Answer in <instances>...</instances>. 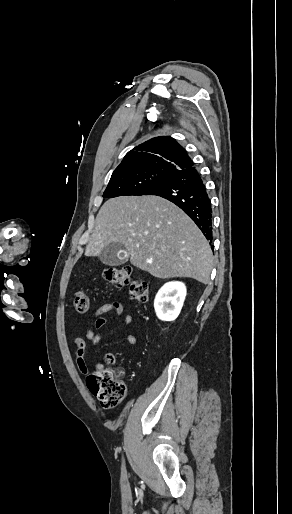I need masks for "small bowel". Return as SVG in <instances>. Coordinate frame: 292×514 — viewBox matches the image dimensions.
<instances>
[{"instance_id":"1","label":"small bowel","mask_w":292,"mask_h":514,"mask_svg":"<svg viewBox=\"0 0 292 514\" xmlns=\"http://www.w3.org/2000/svg\"><path fill=\"white\" fill-rule=\"evenodd\" d=\"M124 307L118 301L107 302L100 305L94 312L93 319L90 328L81 336L74 339V346L76 349V365L78 371L88 376L90 369L86 360V340L92 341L93 344H97L99 341L98 332L107 324L108 320L112 317H120L123 315ZM133 322V317L129 314L122 316V323L130 325ZM125 341L129 345H136L139 341L138 337L132 333H125ZM95 369L100 371L103 366L99 362H95Z\"/></svg>"}]
</instances>
